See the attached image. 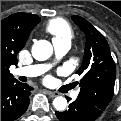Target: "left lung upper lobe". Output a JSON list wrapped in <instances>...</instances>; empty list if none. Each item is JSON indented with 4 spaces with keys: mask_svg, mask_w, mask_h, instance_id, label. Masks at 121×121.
I'll use <instances>...</instances> for the list:
<instances>
[{
    "mask_svg": "<svg viewBox=\"0 0 121 121\" xmlns=\"http://www.w3.org/2000/svg\"><path fill=\"white\" fill-rule=\"evenodd\" d=\"M86 36L85 54L77 73L82 76L78 99L104 110L112 99L116 67L104 36L87 20L72 16Z\"/></svg>",
    "mask_w": 121,
    "mask_h": 121,
    "instance_id": "left-lung-upper-lobe-1",
    "label": "left lung upper lobe"
}]
</instances>
